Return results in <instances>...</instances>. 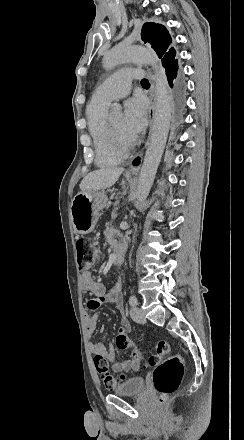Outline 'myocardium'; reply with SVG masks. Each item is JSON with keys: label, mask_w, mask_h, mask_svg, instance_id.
Listing matches in <instances>:
<instances>
[{"label": "myocardium", "mask_w": 244, "mask_h": 440, "mask_svg": "<svg viewBox=\"0 0 244 440\" xmlns=\"http://www.w3.org/2000/svg\"><path fill=\"white\" fill-rule=\"evenodd\" d=\"M105 126L110 131L107 135L109 136L107 139L110 142V146L112 147H121L122 144H127V142L124 140V134L122 132H117L112 129L109 121L108 116L105 117Z\"/></svg>", "instance_id": "obj_1"}]
</instances>
